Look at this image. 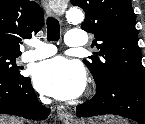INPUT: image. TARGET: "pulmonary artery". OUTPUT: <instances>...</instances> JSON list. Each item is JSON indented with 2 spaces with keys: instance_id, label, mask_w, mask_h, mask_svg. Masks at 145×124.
Segmentation results:
<instances>
[{
  "instance_id": "e3ab8cb5",
  "label": "pulmonary artery",
  "mask_w": 145,
  "mask_h": 124,
  "mask_svg": "<svg viewBox=\"0 0 145 124\" xmlns=\"http://www.w3.org/2000/svg\"><path fill=\"white\" fill-rule=\"evenodd\" d=\"M86 32L80 29H70L66 38L68 47H84L86 46ZM32 50L26 51L21 56V61L31 62L41 60L56 53V48L47 43L40 41L32 42Z\"/></svg>"
}]
</instances>
